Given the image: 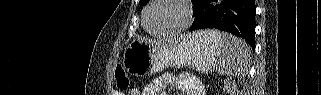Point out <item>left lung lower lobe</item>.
Segmentation results:
<instances>
[{"instance_id":"1","label":"left lung lower lobe","mask_w":321,"mask_h":95,"mask_svg":"<svg viewBox=\"0 0 321 95\" xmlns=\"http://www.w3.org/2000/svg\"><path fill=\"white\" fill-rule=\"evenodd\" d=\"M191 31L215 28L242 37L254 48L255 0H194Z\"/></svg>"}]
</instances>
